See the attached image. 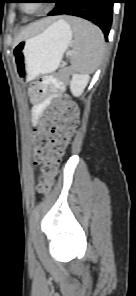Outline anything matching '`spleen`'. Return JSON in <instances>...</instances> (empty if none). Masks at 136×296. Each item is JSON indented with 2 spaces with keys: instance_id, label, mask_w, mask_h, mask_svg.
<instances>
[{
  "instance_id": "1",
  "label": "spleen",
  "mask_w": 136,
  "mask_h": 296,
  "mask_svg": "<svg viewBox=\"0 0 136 296\" xmlns=\"http://www.w3.org/2000/svg\"><path fill=\"white\" fill-rule=\"evenodd\" d=\"M68 22L74 33L71 65L74 71L90 74L99 66L104 54V36L92 23L69 17Z\"/></svg>"
}]
</instances>
